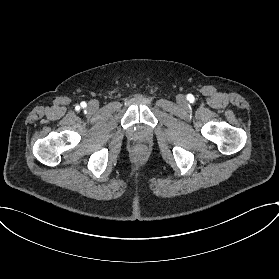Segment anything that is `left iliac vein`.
<instances>
[{
    "label": "left iliac vein",
    "instance_id": "4c4485c4",
    "mask_svg": "<svg viewBox=\"0 0 279 279\" xmlns=\"http://www.w3.org/2000/svg\"><path fill=\"white\" fill-rule=\"evenodd\" d=\"M177 102H178L179 104H185V103H186V98H185V96H183L182 94L178 95V96H177Z\"/></svg>",
    "mask_w": 279,
    "mask_h": 279
}]
</instances>
